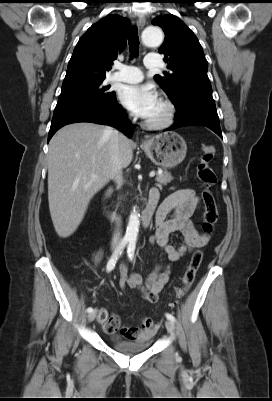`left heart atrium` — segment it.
<instances>
[{
    "label": "left heart atrium",
    "mask_w": 272,
    "mask_h": 401,
    "mask_svg": "<svg viewBox=\"0 0 272 401\" xmlns=\"http://www.w3.org/2000/svg\"><path fill=\"white\" fill-rule=\"evenodd\" d=\"M120 102L133 114L149 118L159 102L155 88L150 84L125 85L119 92Z\"/></svg>",
    "instance_id": "obj_1"
}]
</instances>
